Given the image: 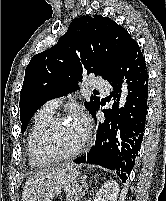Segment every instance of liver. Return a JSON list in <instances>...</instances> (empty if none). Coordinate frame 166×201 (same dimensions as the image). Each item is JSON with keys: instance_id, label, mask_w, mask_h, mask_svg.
Listing matches in <instances>:
<instances>
[{"instance_id": "liver-1", "label": "liver", "mask_w": 166, "mask_h": 201, "mask_svg": "<svg viewBox=\"0 0 166 201\" xmlns=\"http://www.w3.org/2000/svg\"><path fill=\"white\" fill-rule=\"evenodd\" d=\"M56 170L57 168H52L47 171H40L38 173H35L31 177H29V179L26 181L25 186L23 188V193H22L23 201H31L34 194V190L40 184H42L46 178L51 176Z\"/></svg>"}]
</instances>
